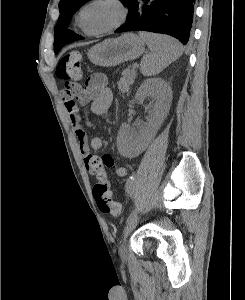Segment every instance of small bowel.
Returning <instances> with one entry per match:
<instances>
[{
  "mask_svg": "<svg viewBox=\"0 0 245 300\" xmlns=\"http://www.w3.org/2000/svg\"><path fill=\"white\" fill-rule=\"evenodd\" d=\"M65 108L68 112L75 137L78 142L84 164L89 173L98 179L94 181V190H110L111 182L105 168L114 167V159L109 154L96 156L91 151H101L104 141L101 137H89L87 130L83 127L78 106L72 99H64ZM77 100L85 105L91 102V110L96 115L106 113L113 103V94L108 86V79L102 73H95L88 78L84 86L77 93ZM117 177H125L128 169L125 166L115 167Z\"/></svg>",
  "mask_w": 245,
  "mask_h": 300,
  "instance_id": "small-bowel-1",
  "label": "small bowel"
}]
</instances>
